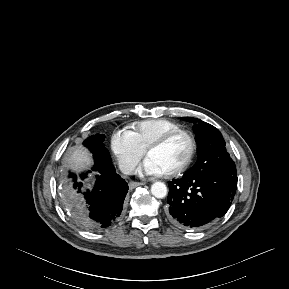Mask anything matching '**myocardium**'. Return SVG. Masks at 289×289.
<instances>
[{"label":"myocardium","instance_id":"obj_1","mask_svg":"<svg viewBox=\"0 0 289 289\" xmlns=\"http://www.w3.org/2000/svg\"><path fill=\"white\" fill-rule=\"evenodd\" d=\"M180 136H185L190 142V151L188 157L179 167L170 172L165 173L164 174L165 177H176L184 173L190 167L197 153V140L195 136L191 132L183 129L173 131L162 136L161 138L153 142L151 145H149V147L146 149V156L148 157L152 151L166 146L172 140Z\"/></svg>","mask_w":289,"mask_h":289}]
</instances>
